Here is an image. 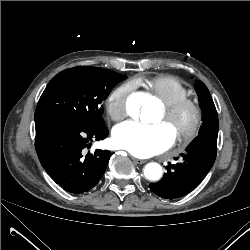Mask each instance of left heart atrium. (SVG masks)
Returning a JSON list of instances; mask_svg holds the SVG:
<instances>
[{"label": "left heart atrium", "instance_id": "left-heart-atrium-1", "mask_svg": "<svg viewBox=\"0 0 250 250\" xmlns=\"http://www.w3.org/2000/svg\"><path fill=\"white\" fill-rule=\"evenodd\" d=\"M174 136L164 124H142L126 121L113 131L112 143L118 149L137 157H149L169 149Z\"/></svg>", "mask_w": 250, "mask_h": 250}]
</instances>
